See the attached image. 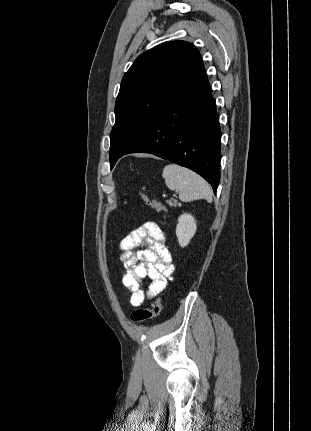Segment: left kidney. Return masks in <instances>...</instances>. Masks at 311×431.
<instances>
[{
	"label": "left kidney",
	"mask_w": 311,
	"mask_h": 431,
	"mask_svg": "<svg viewBox=\"0 0 311 431\" xmlns=\"http://www.w3.org/2000/svg\"><path fill=\"white\" fill-rule=\"evenodd\" d=\"M196 229V219L195 217L191 216V214H182V216L178 217L176 235L181 247L188 245L190 239H192L193 235H195Z\"/></svg>",
	"instance_id": "left-kidney-1"
}]
</instances>
